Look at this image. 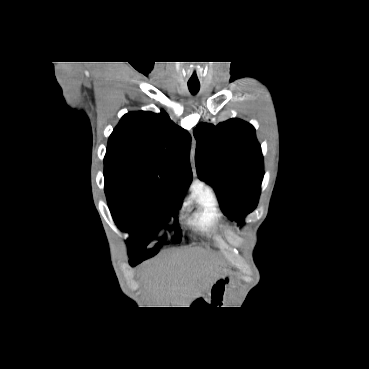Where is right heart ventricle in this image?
Masks as SVG:
<instances>
[{
    "mask_svg": "<svg viewBox=\"0 0 369 369\" xmlns=\"http://www.w3.org/2000/svg\"><path fill=\"white\" fill-rule=\"evenodd\" d=\"M195 210L191 223L201 231L208 232L218 228L222 215L214 192L206 187L194 194Z\"/></svg>",
    "mask_w": 369,
    "mask_h": 369,
    "instance_id": "right-heart-ventricle-1",
    "label": "right heart ventricle"
}]
</instances>
